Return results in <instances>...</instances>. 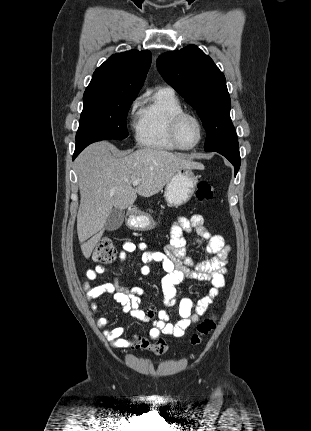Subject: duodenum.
I'll return each instance as SVG.
<instances>
[{
	"mask_svg": "<svg viewBox=\"0 0 311 431\" xmlns=\"http://www.w3.org/2000/svg\"><path fill=\"white\" fill-rule=\"evenodd\" d=\"M137 213V209H136V207H131L130 208V214L131 215H135Z\"/></svg>",
	"mask_w": 311,
	"mask_h": 431,
	"instance_id": "obj_1",
	"label": "duodenum"
}]
</instances>
